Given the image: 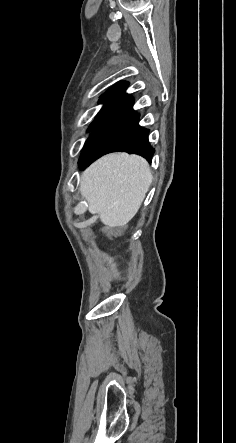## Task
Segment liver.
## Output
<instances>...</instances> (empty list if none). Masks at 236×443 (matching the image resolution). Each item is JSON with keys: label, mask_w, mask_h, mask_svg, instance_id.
<instances>
[{"label": "liver", "mask_w": 236, "mask_h": 443, "mask_svg": "<svg viewBox=\"0 0 236 443\" xmlns=\"http://www.w3.org/2000/svg\"><path fill=\"white\" fill-rule=\"evenodd\" d=\"M153 176L148 162L137 155L103 156L82 174L80 192L91 214L109 227L126 225L140 208Z\"/></svg>", "instance_id": "obj_1"}]
</instances>
